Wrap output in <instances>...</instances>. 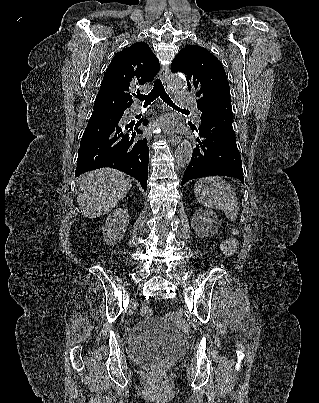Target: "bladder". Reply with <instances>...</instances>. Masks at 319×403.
Segmentation results:
<instances>
[{
    "label": "bladder",
    "instance_id": "obj_1",
    "mask_svg": "<svg viewBox=\"0 0 319 403\" xmlns=\"http://www.w3.org/2000/svg\"><path fill=\"white\" fill-rule=\"evenodd\" d=\"M184 336L162 317H145L130 332V356L137 362L156 363L176 357L185 348Z\"/></svg>",
    "mask_w": 319,
    "mask_h": 403
}]
</instances>
